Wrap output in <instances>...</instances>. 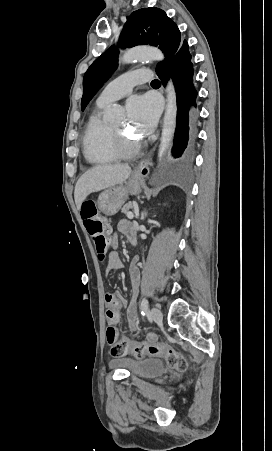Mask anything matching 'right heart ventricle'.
<instances>
[{
  "mask_svg": "<svg viewBox=\"0 0 272 451\" xmlns=\"http://www.w3.org/2000/svg\"><path fill=\"white\" fill-rule=\"evenodd\" d=\"M113 101L97 103V109L91 116L84 135V152L92 163H106L115 156V149L109 140L110 125L101 118V110Z\"/></svg>",
  "mask_w": 272,
  "mask_h": 451,
  "instance_id": "obj_1",
  "label": "right heart ventricle"
}]
</instances>
